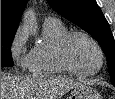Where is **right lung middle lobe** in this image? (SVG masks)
Returning a JSON list of instances; mask_svg holds the SVG:
<instances>
[{
  "label": "right lung middle lobe",
  "instance_id": "right-lung-middle-lobe-1",
  "mask_svg": "<svg viewBox=\"0 0 115 99\" xmlns=\"http://www.w3.org/2000/svg\"><path fill=\"white\" fill-rule=\"evenodd\" d=\"M15 32H1V67H11L14 65L11 56V44Z\"/></svg>",
  "mask_w": 115,
  "mask_h": 99
}]
</instances>
